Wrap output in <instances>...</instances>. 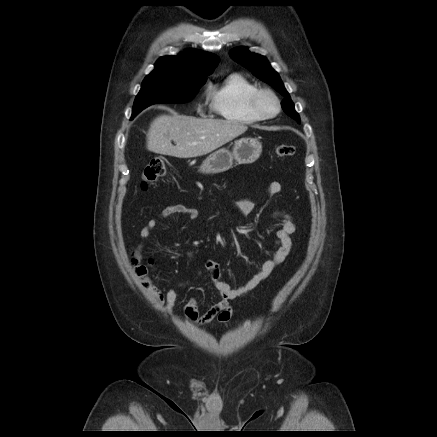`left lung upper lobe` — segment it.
Masks as SVG:
<instances>
[{"label":"left lung upper lobe","instance_id":"5c2ea615","mask_svg":"<svg viewBox=\"0 0 437 437\" xmlns=\"http://www.w3.org/2000/svg\"><path fill=\"white\" fill-rule=\"evenodd\" d=\"M229 54L232 59L249 69L255 76L271 85L284 96L285 99L281 103L284 112L300 123V117L294 109L289 93L286 91L278 73L270 66V63L264 56L250 53L244 47L234 49Z\"/></svg>","mask_w":437,"mask_h":437}]
</instances>
